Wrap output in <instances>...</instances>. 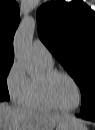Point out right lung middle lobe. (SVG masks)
I'll list each match as a JSON object with an SVG mask.
<instances>
[{
	"instance_id": "obj_1",
	"label": "right lung middle lobe",
	"mask_w": 95,
	"mask_h": 130,
	"mask_svg": "<svg viewBox=\"0 0 95 130\" xmlns=\"http://www.w3.org/2000/svg\"><path fill=\"white\" fill-rule=\"evenodd\" d=\"M13 62H0V98L9 99L6 78Z\"/></svg>"
}]
</instances>
